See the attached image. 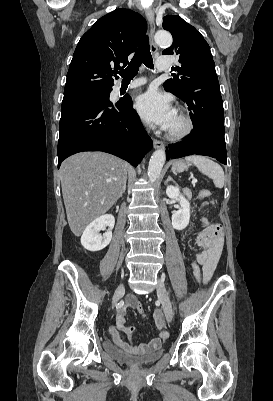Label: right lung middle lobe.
<instances>
[{"instance_id":"obj_1","label":"right lung middle lobe","mask_w":273,"mask_h":401,"mask_svg":"<svg viewBox=\"0 0 273 401\" xmlns=\"http://www.w3.org/2000/svg\"><path fill=\"white\" fill-rule=\"evenodd\" d=\"M110 92L111 90H105L64 96L62 101V110L85 103H111L109 100Z\"/></svg>"}]
</instances>
